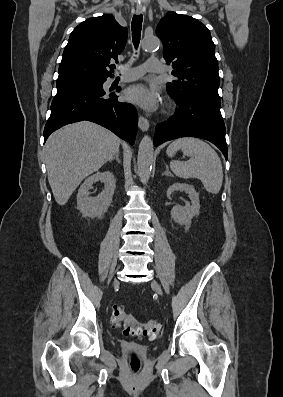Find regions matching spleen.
<instances>
[{
	"label": "spleen",
	"mask_w": 283,
	"mask_h": 397,
	"mask_svg": "<svg viewBox=\"0 0 283 397\" xmlns=\"http://www.w3.org/2000/svg\"><path fill=\"white\" fill-rule=\"evenodd\" d=\"M189 156L188 161L172 160V172L183 179L197 178L201 180L207 192L219 193L223 182L222 163L215 150L198 138H179L167 148V155L173 157L178 151Z\"/></svg>",
	"instance_id": "spleen-1"
}]
</instances>
